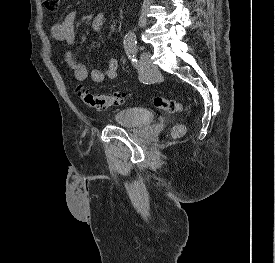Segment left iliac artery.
Segmentation results:
<instances>
[{"label": "left iliac artery", "mask_w": 275, "mask_h": 263, "mask_svg": "<svg viewBox=\"0 0 275 263\" xmlns=\"http://www.w3.org/2000/svg\"><path fill=\"white\" fill-rule=\"evenodd\" d=\"M124 48L133 63H137V38L134 32H128L124 38Z\"/></svg>", "instance_id": "left-iliac-artery-1"}]
</instances>
